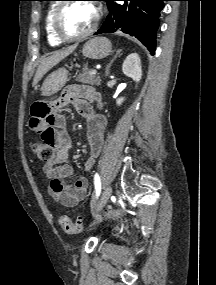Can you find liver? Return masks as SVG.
<instances>
[{
  "label": "liver",
  "instance_id": "liver-1",
  "mask_svg": "<svg viewBox=\"0 0 216 285\" xmlns=\"http://www.w3.org/2000/svg\"><path fill=\"white\" fill-rule=\"evenodd\" d=\"M76 48L77 45H72L65 50L55 51L49 57L42 59L35 73L33 79V86H35L52 67H54L65 57L73 53Z\"/></svg>",
  "mask_w": 216,
  "mask_h": 285
}]
</instances>
